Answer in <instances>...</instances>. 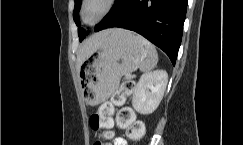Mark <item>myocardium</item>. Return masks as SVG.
Segmentation results:
<instances>
[{"label":"myocardium","mask_w":243,"mask_h":145,"mask_svg":"<svg viewBox=\"0 0 243 145\" xmlns=\"http://www.w3.org/2000/svg\"><path fill=\"white\" fill-rule=\"evenodd\" d=\"M92 0H82L81 3V8H80V20L83 24L88 25V26H94L101 22L104 18H106L117 6L118 0H103L104 6L101 10V12L98 14V16L92 20L88 21L85 18V11L87 5L91 2Z\"/></svg>","instance_id":"obj_1"}]
</instances>
